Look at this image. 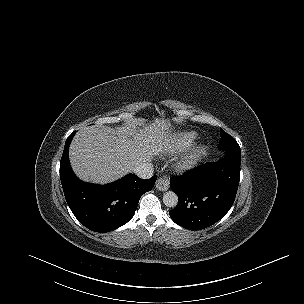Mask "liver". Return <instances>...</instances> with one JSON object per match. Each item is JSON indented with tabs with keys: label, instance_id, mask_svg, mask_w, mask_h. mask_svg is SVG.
Wrapping results in <instances>:
<instances>
[{
	"label": "liver",
	"instance_id": "1",
	"mask_svg": "<svg viewBox=\"0 0 304 304\" xmlns=\"http://www.w3.org/2000/svg\"><path fill=\"white\" fill-rule=\"evenodd\" d=\"M142 124L141 120H134L118 130L104 126L81 129L69 150L73 171L83 181L106 184L164 152L167 121L156 119L143 128Z\"/></svg>",
	"mask_w": 304,
	"mask_h": 304
}]
</instances>
